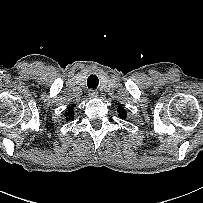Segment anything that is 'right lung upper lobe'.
Masks as SVG:
<instances>
[{"label": "right lung upper lobe", "instance_id": "right-lung-upper-lobe-1", "mask_svg": "<svg viewBox=\"0 0 203 203\" xmlns=\"http://www.w3.org/2000/svg\"><path fill=\"white\" fill-rule=\"evenodd\" d=\"M73 108H69L68 112L66 113L67 120H71L73 118Z\"/></svg>", "mask_w": 203, "mask_h": 203}]
</instances>
